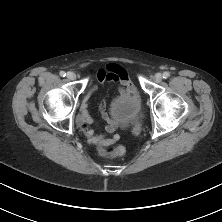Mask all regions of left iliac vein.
I'll list each match as a JSON object with an SVG mask.
<instances>
[{
    "instance_id": "left-iliac-vein-1",
    "label": "left iliac vein",
    "mask_w": 222,
    "mask_h": 222,
    "mask_svg": "<svg viewBox=\"0 0 222 222\" xmlns=\"http://www.w3.org/2000/svg\"><path fill=\"white\" fill-rule=\"evenodd\" d=\"M162 80V75L160 73L155 74L154 81L159 83Z\"/></svg>"
}]
</instances>
